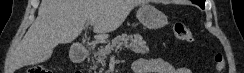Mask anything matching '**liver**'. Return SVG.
Listing matches in <instances>:
<instances>
[{
    "instance_id": "obj_1",
    "label": "liver",
    "mask_w": 244,
    "mask_h": 73,
    "mask_svg": "<svg viewBox=\"0 0 244 73\" xmlns=\"http://www.w3.org/2000/svg\"><path fill=\"white\" fill-rule=\"evenodd\" d=\"M144 3L143 0H42L37 19L16 49L10 71L48 60L58 44L72 42L91 20H95V38L106 39L134 7Z\"/></svg>"
}]
</instances>
